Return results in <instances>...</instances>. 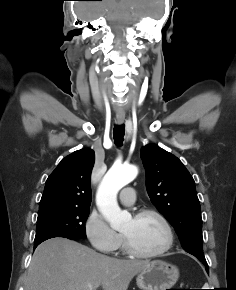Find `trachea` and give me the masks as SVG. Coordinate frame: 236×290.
<instances>
[{
	"label": "trachea",
	"mask_w": 236,
	"mask_h": 290,
	"mask_svg": "<svg viewBox=\"0 0 236 290\" xmlns=\"http://www.w3.org/2000/svg\"><path fill=\"white\" fill-rule=\"evenodd\" d=\"M125 127L124 125H115L113 130V138L116 146L120 147L124 140Z\"/></svg>",
	"instance_id": "trachea-1"
}]
</instances>
